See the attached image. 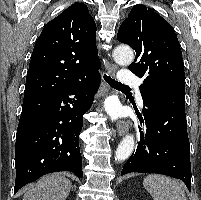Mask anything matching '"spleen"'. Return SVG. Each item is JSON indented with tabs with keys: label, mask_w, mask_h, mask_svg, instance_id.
<instances>
[{
	"label": "spleen",
	"mask_w": 201,
	"mask_h": 200,
	"mask_svg": "<svg viewBox=\"0 0 201 200\" xmlns=\"http://www.w3.org/2000/svg\"><path fill=\"white\" fill-rule=\"evenodd\" d=\"M143 185L154 200H187L182 185L170 177L151 174Z\"/></svg>",
	"instance_id": "spleen-1"
}]
</instances>
